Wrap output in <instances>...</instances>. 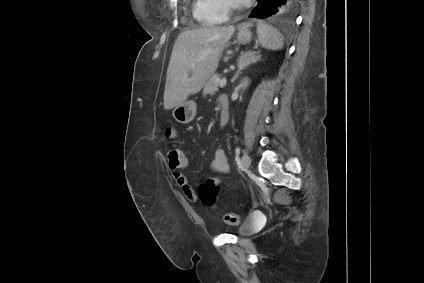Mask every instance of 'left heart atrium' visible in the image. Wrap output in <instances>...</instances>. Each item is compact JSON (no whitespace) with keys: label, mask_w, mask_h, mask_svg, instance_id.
Here are the masks:
<instances>
[{"label":"left heart atrium","mask_w":424,"mask_h":283,"mask_svg":"<svg viewBox=\"0 0 424 283\" xmlns=\"http://www.w3.org/2000/svg\"><path fill=\"white\" fill-rule=\"evenodd\" d=\"M234 1L238 4H245V3L249 2L250 0H234Z\"/></svg>","instance_id":"left-heart-atrium-1"}]
</instances>
